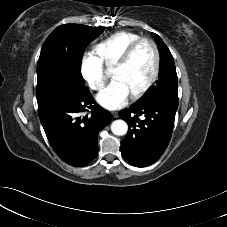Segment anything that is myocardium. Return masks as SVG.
<instances>
[{"label":"myocardium","mask_w":227,"mask_h":227,"mask_svg":"<svg viewBox=\"0 0 227 227\" xmlns=\"http://www.w3.org/2000/svg\"><path fill=\"white\" fill-rule=\"evenodd\" d=\"M143 43H148L153 49L154 68H153V72H152L149 80L146 82V84L141 89H139L137 92L131 94V98L134 100L139 99L143 95H145L152 88V86L154 85V83L156 82V80L159 76L160 66H161V55H160V51H159V48H158L156 42L147 37H140L139 39H137L136 41H134L127 47V49L125 50L123 55L120 57V59L114 64V68L125 67L130 62V60H131L133 54L135 53V51L137 50V48Z\"/></svg>","instance_id":"1"}]
</instances>
